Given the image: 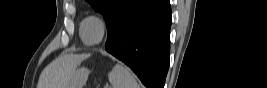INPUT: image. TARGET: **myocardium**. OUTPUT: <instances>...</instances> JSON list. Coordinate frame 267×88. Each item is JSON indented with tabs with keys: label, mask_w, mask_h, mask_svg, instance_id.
Masks as SVG:
<instances>
[{
	"label": "myocardium",
	"mask_w": 267,
	"mask_h": 88,
	"mask_svg": "<svg viewBox=\"0 0 267 88\" xmlns=\"http://www.w3.org/2000/svg\"><path fill=\"white\" fill-rule=\"evenodd\" d=\"M90 20H94L96 21L99 26H100V29H101V34H100V37L94 41V42H89L87 39H86V36H85V26H86V23ZM105 34H106V24L105 22L103 21V19H101L100 17L98 16H89L87 17L85 20H84V23H83V26H82V29H81V38L83 40V42L87 45H90V46H93V45H97L99 43H101L105 37Z\"/></svg>",
	"instance_id": "f54148a6"
}]
</instances>
